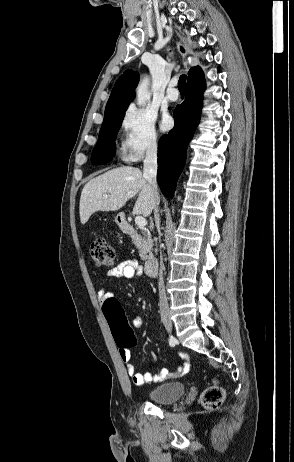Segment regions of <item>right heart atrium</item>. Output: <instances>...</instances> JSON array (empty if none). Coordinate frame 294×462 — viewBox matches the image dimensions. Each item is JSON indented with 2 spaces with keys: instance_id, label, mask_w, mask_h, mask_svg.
<instances>
[{
  "instance_id": "obj_1",
  "label": "right heart atrium",
  "mask_w": 294,
  "mask_h": 462,
  "mask_svg": "<svg viewBox=\"0 0 294 462\" xmlns=\"http://www.w3.org/2000/svg\"><path fill=\"white\" fill-rule=\"evenodd\" d=\"M121 127L122 158L125 162H136L158 150L154 119L146 111L135 107L127 109L122 117Z\"/></svg>"
}]
</instances>
